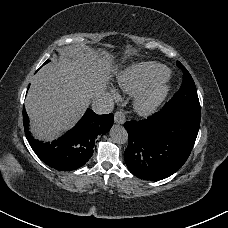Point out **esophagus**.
I'll return each mask as SVG.
<instances>
[{
	"label": "esophagus",
	"instance_id": "34e87169",
	"mask_svg": "<svg viewBox=\"0 0 228 228\" xmlns=\"http://www.w3.org/2000/svg\"><path fill=\"white\" fill-rule=\"evenodd\" d=\"M115 122L118 124H124L125 122V115L121 111H117L114 116Z\"/></svg>",
	"mask_w": 228,
	"mask_h": 228
}]
</instances>
